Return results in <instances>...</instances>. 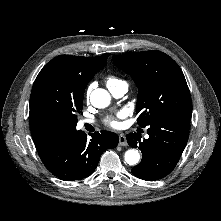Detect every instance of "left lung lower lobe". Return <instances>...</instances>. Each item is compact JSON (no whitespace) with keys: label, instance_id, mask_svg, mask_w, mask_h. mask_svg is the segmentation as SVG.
I'll use <instances>...</instances> for the list:
<instances>
[{"label":"left lung lower lobe","instance_id":"left-lung-lower-lobe-1","mask_svg":"<svg viewBox=\"0 0 221 221\" xmlns=\"http://www.w3.org/2000/svg\"><path fill=\"white\" fill-rule=\"evenodd\" d=\"M148 139L141 141L137 133L126 135L132 147L142 152V161L131 169L143 180L155 181L167 176L178 163L189 137L190 121L164 118L148 125Z\"/></svg>","mask_w":221,"mask_h":221}]
</instances>
